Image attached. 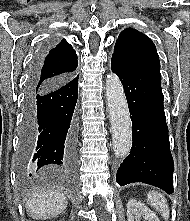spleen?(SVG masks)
<instances>
[{
  "instance_id": "spleen-1",
  "label": "spleen",
  "mask_w": 190,
  "mask_h": 221,
  "mask_svg": "<svg viewBox=\"0 0 190 221\" xmlns=\"http://www.w3.org/2000/svg\"><path fill=\"white\" fill-rule=\"evenodd\" d=\"M148 202L155 207L167 221L169 219V207L167 200L163 194L157 191H150L147 194Z\"/></svg>"
}]
</instances>
